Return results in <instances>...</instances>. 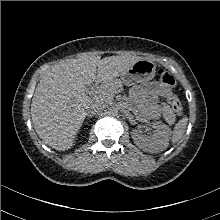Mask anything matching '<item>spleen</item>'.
I'll return each instance as SVG.
<instances>
[{
  "mask_svg": "<svg viewBox=\"0 0 220 220\" xmlns=\"http://www.w3.org/2000/svg\"><path fill=\"white\" fill-rule=\"evenodd\" d=\"M187 117H183L174 127V130L172 132V143H177L183 136L186 126H187Z\"/></svg>",
  "mask_w": 220,
  "mask_h": 220,
  "instance_id": "spleen-1",
  "label": "spleen"
}]
</instances>
